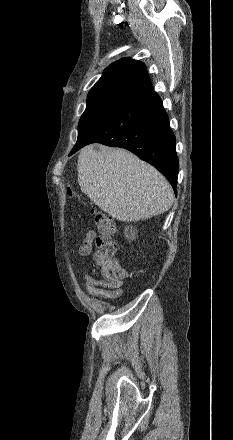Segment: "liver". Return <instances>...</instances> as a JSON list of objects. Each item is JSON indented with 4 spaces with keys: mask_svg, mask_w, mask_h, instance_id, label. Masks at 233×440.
I'll return each instance as SVG.
<instances>
[{
    "mask_svg": "<svg viewBox=\"0 0 233 440\" xmlns=\"http://www.w3.org/2000/svg\"><path fill=\"white\" fill-rule=\"evenodd\" d=\"M77 169L82 192L119 221L146 220L173 204V189L166 178L124 149L84 147Z\"/></svg>",
    "mask_w": 233,
    "mask_h": 440,
    "instance_id": "obj_1",
    "label": "liver"
}]
</instances>
